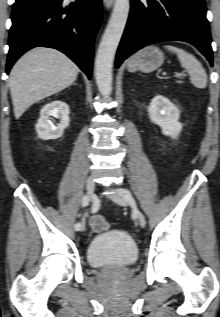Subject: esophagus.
<instances>
[{"label": "esophagus", "mask_w": 220, "mask_h": 317, "mask_svg": "<svg viewBox=\"0 0 220 317\" xmlns=\"http://www.w3.org/2000/svg\"><path fill=\"white\" fill-rule=\"evenodd\" d=\"M103 1H104V5L107 9H110L114 4V0H103Z\"/></svg>", "instance_id": "34e87169"}]
</instances>
